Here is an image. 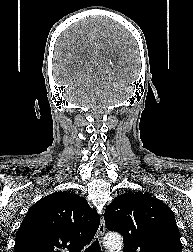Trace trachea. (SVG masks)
<instances>
[{
	"mask_svg": "<svg viewBox=\"0 0 193 252\" xmlns=\"http://www.w3.org/2000/svg\"><path fill=\"white\" fill-rule=\"evenodd\" d=\"M85 252H101L98 239H96L88 248H86Z\"/></svg>",
	"mask_w": 193,
	"mask_h": 252,
	"instance_id": "trachea-1",
	"label": "trachea"
}]
</instances>
